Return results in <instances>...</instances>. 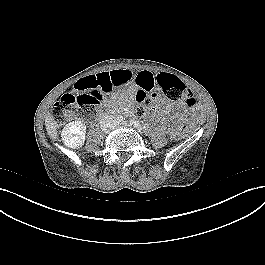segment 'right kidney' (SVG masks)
<instances>
[{
  "instance_id": "1",
  "label": "right kidney",
  "mask_w": 265,
  "mask_h": 265,
  "mask_svg": "<svg viewBox=\"0 0 265 265\" xmlns=\"http://www.w3.org/2000/svg\"><path fill=\"white\" fill-rule=\"evenodd\" d=\"M86 126L81 121L68 123L61 132L64 145L68 148L78 149L84 145Z\"/></svg>"
}]
</instances>
